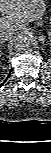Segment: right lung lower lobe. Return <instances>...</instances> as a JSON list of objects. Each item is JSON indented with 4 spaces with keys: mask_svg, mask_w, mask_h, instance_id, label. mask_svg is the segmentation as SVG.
<instances>
[{
    "mask_svg": "<svg viewBox=\"0 0 51 153\" xmlns=\"http://www.w3.org/2000/svg\"><path fill=\"white\" fill-rule=\"evenodd\" d=\"M10 75V74H9ZM9 77V76H8ZM8 77L6 78V79H8ZM6 81V80H5ZM5 81L1 84V85H3L4 83H5Z\"/></svg>",
    "mask_w": 51,
    "mask_h": 153,
    "instance_id": "1",
    "label": "right lung lower lobe"
}]
</instances>
